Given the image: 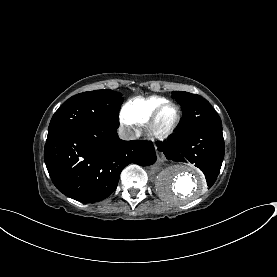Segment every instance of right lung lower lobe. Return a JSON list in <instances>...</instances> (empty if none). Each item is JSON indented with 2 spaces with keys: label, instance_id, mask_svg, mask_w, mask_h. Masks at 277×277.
<instances>
[{
  "label": "right lung lower lobe",
  "instance_id": "98d812e1",
  "mask_svg": "<svg viewBox=\"0 0 277 277\" xmlns=\"http://www.w3.org/2000/svg\"><path fill=\"white\" fill-rule=\"evenodd\" d=\"M118 126L78 127L47 137L44 160L60 192L84 203L98 202L115 191L128 164L148 166L156 161L150 142L123 141Z\"/></svg>",
  "mask_w": 277,
  "mask_h": 277
}]
</instances>
